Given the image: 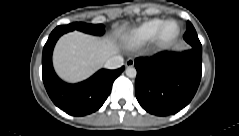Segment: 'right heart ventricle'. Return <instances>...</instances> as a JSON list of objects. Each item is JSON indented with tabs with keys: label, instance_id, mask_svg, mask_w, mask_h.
<instances>
[{
	"label": "right heart ventricle",
	"instance_id": "right-heart-ventricle-1",
	"mask_svg": "<svg viewBox=\"0 0 239 136\" xmlns=\"http://www.w3.org/2000/svg\"><path fill=\"white\" fill-rule=\"evenodd\" d=\"M164 24L162 20H151L144 23L138 29V38L142 41L149 40L153 38L159 31L160 27Z\"/></svg>",
	"mask_w": 239,
	"mask_h": 136
}]
</instances>
